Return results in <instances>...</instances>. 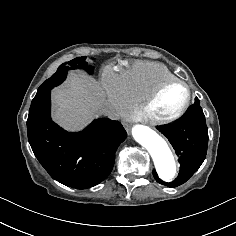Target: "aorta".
Returning a JSON list of instances; mask_svg holds the SVG:
<instances>
[{
  "label": "aorta",
  "mask_w": 236,
  "mask_h": 236,
  "mask_svg": "<svg viewBox=\"0 0 236 236\" xmlns=\"http://www.w3.org/2000/svg\"><path fill=\"white\" fill-rule=\"evenodd\" d=\"M132 135L151 155L159 178L165 182L173 180L176 174V163L166 141L144 125H135L132 128Z\"/></svg>",
  "instance_id": "aorta-1"
}]
</instances>
